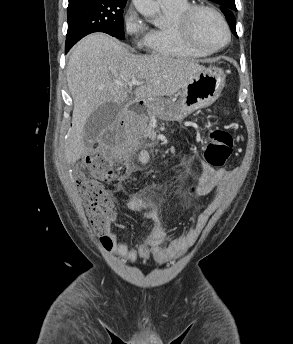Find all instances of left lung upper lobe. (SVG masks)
<instances>
[{"label":"left lung upper lobe","mask_w":293,"mask_h":344,"mask_svg":"<svg viewBox=\"0 0 293 344\" xmlns=\"http://www.w3.org/2000/svg\"><path fill=\"white\" fill-rule=\"evenodd\" d=\"M210 1L217 3L221 7V10L226 16L233 34H235V36L237 37L236 22L233 15L237 11L235 0H210Z\"/></svg>","instance_id":"obj_1"}]
</instances>
